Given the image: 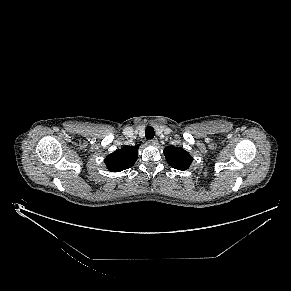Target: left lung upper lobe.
Listing matches in <instances>:
<instances>
[{
    "label": "left lung upper lobe",
    "instance_id": "left-lung-upper-lobe-1",
    "mask_svg": "<svg viewBox=\"0 0 291 291\" xmlns=\"http://www.w3.org/2000/svg\"><path fill=\"white\" fill-rule=\"evenodd\" d=\"M164 155L168 164L177 170H187L193 161L191 155L180 147L167 146Z\"/></svg>",
    "mask_w": 291,
    "mask_h": 291
}]
</instances>
